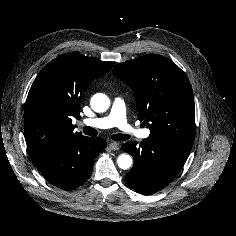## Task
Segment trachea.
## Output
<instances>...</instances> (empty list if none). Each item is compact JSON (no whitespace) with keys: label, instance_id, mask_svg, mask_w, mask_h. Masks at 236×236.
Masks as SVG:
<instances>
[{"label":"trachea","instance_id":"trachea-1","mask_svg":"<svg viewBox=\"0 0 236 236\" xmlns=\"http://www.w3.org/2000/svg\"><path fill=\"white\" fill-rule=\"evenodd\" d=\"M84 134L89 135V136H97L98 132L96 129L91 128V127H84L83 129ZM111 138L115 141H125L130 138V135L127 134H114L111 136Z\"/></svg>","mask_w":236,"mask_h":236}]
</instances>
